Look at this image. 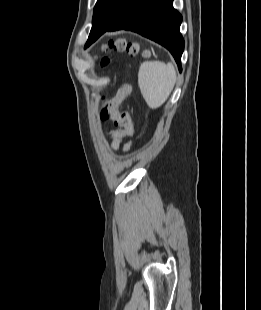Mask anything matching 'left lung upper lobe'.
<instances>
[{
	"instance_id": "left-lung-upper-lobe-1",
	"label": "left lung upper lobe",
	"mask_w": 261,
	"mask_h": 310,
	"mask_svg": "<svg viewBox=\"0 0 261 310\" xmlns=\"http://www.w3.org/2000/svg\"><path fill=\"white\" fill-rule=\"evenodd\" d=\"M123 0H97L93 13V24L108 23L116 14Z\"/></svg>"
}]
</instances>
